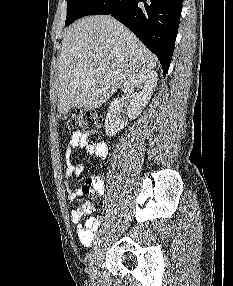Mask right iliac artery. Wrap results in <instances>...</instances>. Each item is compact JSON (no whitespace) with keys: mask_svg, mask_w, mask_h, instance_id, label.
Segmentation results:
<instances>
[{"mask_svg":"<svg viewBox=\"0 0 233 286\" xmlns=\"http://www.w3.org/2000/svg\"><path fill=\"white\" fill-rule=\"evenodd\" d=\"M102 233H103V229H100V230L97 232V234H96V236H95V239H94V242H93L94 245H96L97 242L100 241V237L102 236Z\"/></svg>","mask_w":233,"mask_h":286,"instance_id":"1","label":"right iliac artery"}]
</instances>
